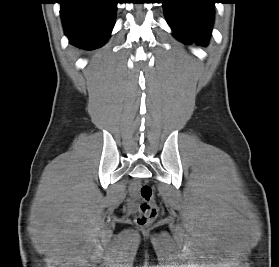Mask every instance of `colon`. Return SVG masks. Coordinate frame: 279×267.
Wrapping results in <instances>:
<instances>
[{
	"mask_svg": "<svg viewBox=\"0 0 279 267\" xmlns=\"http://www.w3.org/2000/svg\"><path fill=\"white\" fill-rule=\"evenodd\" d=\"M139 192L141 201L136 223L139 226H146L156 218L158 208L155 203L153 189L149 184L141 185Z\"/></svg>",
	"mask_w": 279,
	"mask_h": 267,
	"instance_id": "5ec220e1",
	"label": "colon"
}]
</instances>
